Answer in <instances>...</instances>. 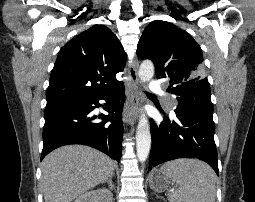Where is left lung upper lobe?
Segmentation results:
<instances>
[{"mask_svg": "<svg viewBox=\"0 0 255 202\" xmlns=\"http://www.w3.org/2000/svg\"><path fill=\"white\" fill-rule=\"evenodd\" d=\"M137 55L152 60L158 79L170 78L167 91L177 96L175 112H197L213 117L202 50L190 34L172 23L156 20L145 28Z\"/></svg>", "mask_w": 255, "mask_h": 202, "instance_id": "5c2ea615", "label": "left lung upper lobe"}]
</instances>
